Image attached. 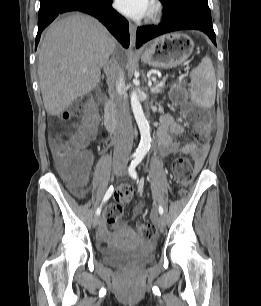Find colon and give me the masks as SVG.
<instances>
[{"label":"colon","mask_w":261,"mask_h":306,"mask_svg":"<svg viewBox=\"0 0 261 306\" xmlns=\"http://www.w3.org/2000/svg\"><path fill=\"white\" fill-rule=\"evenodd\" d=\"M173 100L183 104L189 124L194 127V137L200 143L207 141L209 118L207 115L186 101V92L175 86L171 91ZM67 120L73 122L76 131L73 135L57 148L59 171L62 177L72 185H82L88 177V164L84 153V147L95 135L97 114L92 101L83 97L70 106L67 111ZM173 177L181 190L187 187L194 177L193 166L189 158L177 157L172 164ZM132 188L121 185L115 194V202L107 206L104 211L106 223L112 224L124 215V204L132 198ZM136 230L145 239H152L157 234L154 225L139 222Z\"/></svg>","instance_id":"obj_1"}]
</instances>
